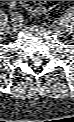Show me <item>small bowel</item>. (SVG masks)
<instances>
[{"instance_id":"obj_1","label":"small bowel","mask_w":74,"mask_h":122,"mask_svg":"<svg viewBox=\"0 0 74 122\" xmlns=\"http://www.w3.org/2000/svg\"><path fill=\"white\" fill-rule=\"evenodd\" d=\"M14 4H15V1H10V6H14ZM51 9V8H50ZM49 9V10H50Z\"/></svg>"}]
</instances>
